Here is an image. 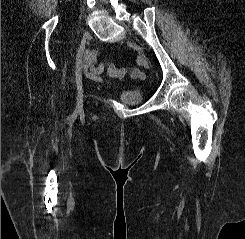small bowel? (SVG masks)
I'll return each instance as SVG.
<instances>
[{"label": "small bowel", "instance_id": "obj_1", "mask_svg": "<svg viewBox=\"0 0 245 239\" xmlns=\"http://www.w3.org/2000/svg\"><path fill=\"white\" fill-rule=\"evenodd\" d=\"M98 56V49L87 51L85 54V64L83 67L85 76L95 83L102 82V75L106 70V66L104 63H96Z\"/></svg>", "mask_w": 245, "mask_h": 239}]
</instances>
